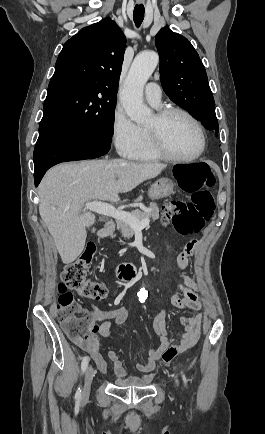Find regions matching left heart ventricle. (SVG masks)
<instances>
[{"mask_svg": "<svg viewBox=\"0 0 265 434\" xmlns=\"http://www.w3.org/2000/svg\"><path fill=\"white\" fill-rule=\"evenodd\" d=\"M155 122V117L149 125ZM165 140L178 156L190 157L200 148V137L194 124L185 116L172 114L166 123Z\"/></svg>", "mask_w": 265, "mask_h": 434, "instance_id": "left-heart-ventricle-1", "label": "left heart ventricle"}]
</instances>
